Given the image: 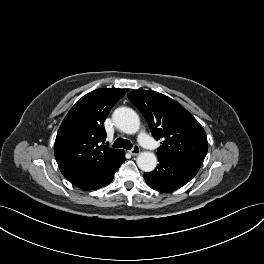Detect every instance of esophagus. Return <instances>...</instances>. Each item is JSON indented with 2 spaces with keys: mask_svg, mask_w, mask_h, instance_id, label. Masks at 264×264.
<instances>
[{
  "mask_svg": "<svg viewBox=\"0 0 264 264\" xmlns=\"http://www.w3.org/2000/svg\"><path fill=\"white\" fill-rule=\"evenodd\" d=\"M129 152L131 155L136 156L140 153V148L138 145H134V147Z\"/></svg>",
  "mask_w": 264,
  "mask_h": 264,
  "instance_id": "1",
  "label": "esophagus"
}]
</instances>
